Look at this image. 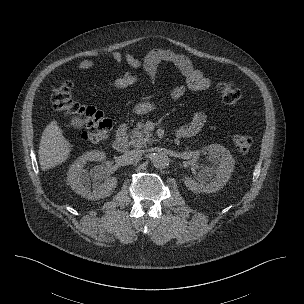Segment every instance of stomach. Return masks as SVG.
Returning a JSON list of instances; mask_svg holds the SVG:
<instances>
[{
    "label": "stomach",
    "instance_id": "stomach-1",
    "mask_svg": "<svg viewBox=\"0 0 304 304\" xmlns=\"http://www.w3.org/2000/svg\"><path fill=\"white\" fill-rule=\"evenodd\" d=\"M155 109V105L150 102H141L134 108V112L137 115H143Z\"/></svg>",
    "mask_w": 304,
    "mask_h": 304
}]
</instances>
